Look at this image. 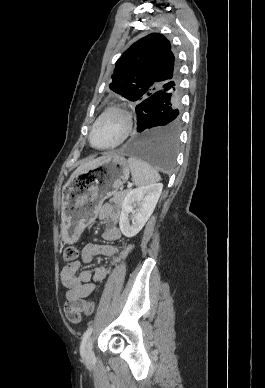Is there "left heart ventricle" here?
<instances>
[{
    "label": "left heart ventricle",
    "instance_id": "obj_1",
    "mask_svg": "<svg viewBox=\"0 0 265 388\" xmlns=\"http://www.w3.org/2000/svg\"><path fill=\"white\" fill-rule=\"evenodd\" d=\"M123 126L122 118L115 113L107 114L95 127L93 142L98 146H105L114 143Z\"/></svg>",
    "mask_w": 265,
    "mask_h": 388
}]
</instances>
